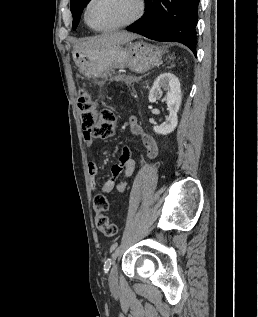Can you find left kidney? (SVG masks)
Instances as JSON below:
<instances>
[{
    "label": "left kidney",
    "mask_w": 258,
    "mask_h": 317,
    "mask_svg": "<svg viewBox=\"0 0 258 317\" xmlns=\"http://www.w3.org/2000/svg\"><path fill=\"white\" fill-rule=\"evenodd\" d=\"M162 88L168 90L166 104L169 114L166 116L165 122H162L160 126H153V130L157 132V134H168V132H172L178 124L177 112L181 104V88L178 76H175L172 72H161L153 82L148 96L149 102H156L158 92H161Z\"/></svg>",
    "instance_id": "5707ae66"
}]
</instances>
